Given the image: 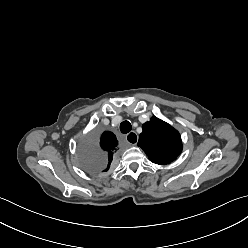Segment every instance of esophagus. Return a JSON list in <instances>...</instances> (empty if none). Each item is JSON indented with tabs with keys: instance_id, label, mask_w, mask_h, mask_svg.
<instances>
[{
	"instance_id": "esophagus-1",
	"label": "esophagus",
	"mask_w": 248,
	"mask_h": 248,
	"mask_svg": "<svg viewBox=\"0 0 248 248\" xmlns=\"http://www.w3.org/2000/svg\"><path fill=\"white\" fill-rule=\"evenodd\" d=\"M126 141L130 145H136L138 142V135L134 131H132L126 135Z\"/></svg>"
}]
</instances>
